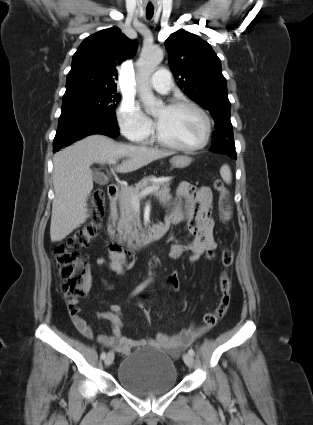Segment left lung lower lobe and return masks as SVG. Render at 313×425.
Masks as SVG:
<instances>
[{
    "label": "left lung lower lobe",
    "mask_w": 313,
    "mask_h": 425,
    "mask_svg": "<svg viewBox=\"0 0 313 425\" xmlns=\"http://www.w3.org/2000/svg\"><path fill=\"white\" fill-rule=\"evenodd\" d=\"M211 150L219 154L232 155L236 159L232 129H217L213 133Z\"/></svg>",
    "instance_id": "obj_1"
}]
</instances>
